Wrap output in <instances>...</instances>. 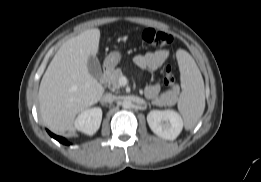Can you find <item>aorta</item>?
<instances>
[{
	"mask_svg": "<svg viewBox=\"0 0 261 182\" xmlns=\"http://www.w3.org/2000/svg\"><path fill=\"white\" fill-rule=\"evenodd\" d=\"M122 107H123L124 109H130V108L132 107V102H131V100H129V99H124V100L122 101Z\"/></svg>",
	"mask_w": 261,
	"mask_h": 182,
	"instance_id": "762f6f07",
	"label": "aorta"
}]
</instances>
